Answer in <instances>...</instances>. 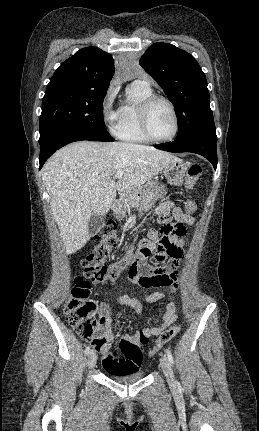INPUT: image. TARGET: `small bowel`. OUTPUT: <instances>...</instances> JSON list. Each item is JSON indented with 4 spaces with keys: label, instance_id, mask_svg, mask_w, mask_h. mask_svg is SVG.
I'll return each mask as SVG.
<instances>
[{
    "label": "small bowel",
    "instance_id": "small-bowel-1",
    "mask_svg": "<svg viewBox=\"0 0 259 431\" xmlns=\"http://www.w3.org/2000/svg\"><path fill=\"white\" fill-rule=\"evenodd\" d=\"M157 217L159 221H168L171 217L178 222L188 225L194 223V219L188 212H183L180 208L176 207L171 201L161 204L153 214V218ZM157 237V231L150 229L147 232V237L143 238L140 242L153 239ZM185 241L179 239L175 242V252L171 255V259L163 266L160 267H130L127 272L128 279L138 283L142 288H155L159 286H166L169 293H174L177 288V269L181 265L184 258ZM162 292H155L148 297L149 302H156L163 298ZM126 305L133 308L137 315L142 314V306L131 296L121 295L112 300L109 304H99L98 310L100 312V326L98 328V336L104 339L101 345H93L94 348L101 353L102 365L106 371L120 372L124 365L129 364L135 369H138L142 363V352L139 348L140 334L145 332L150 335H158L161 331L168 328L176 319V307L174 301H171L166 306V312L159 324L154 327L145 328L135 333H125L122 335L120 342H130L138 346L139 353L136 358L130 357L121 353L119 350L111 348L115 335L112 330V314L115 306Z\"/></svg>",
    "mask_w": 259,
    "mask_h": 431
}]
</instances>
